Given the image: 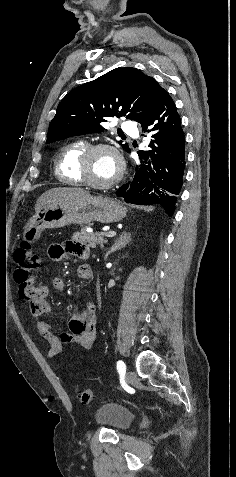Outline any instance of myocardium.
Here are the masks:
<instances>
[{
    "instance_id": "myocardium-1",
    "label": "myocardium",
    "mask_w": 236,
    "mask_h": 477,
    "mask_svg": "<svg viewBox=\"0 0 236 477\" xmlns=\"http://www.w3.org/2000/svg\"><path fill=\"white\" fill-rule=\"evenodd\" d=\"M100 150L110 151L115 156L118 162V172L116 176L112 180L107 182H94L93 180L90 179L88 175L89 160L95 152ZM124 170H125V163L121 153L116 147L108 143H96V144L86 146V148L83 150V152L79 156L78 164H77V172L82 183L96 189H107L116 185L123 177Z\"/></svg>"
}]
</instances>
